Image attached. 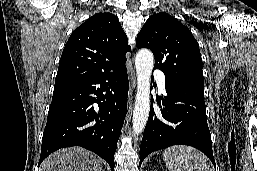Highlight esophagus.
<instances>
[{"label":"esophagus","instance_id":"1","mask_svg":"<svg viewBox=\"0 0 257 171\" xmlns=\"http://www.w3.org/2000/svg\"><path fill=\"white\" fill-rule=\"evenodd\" d=\"M131 87H132V88L135 87V80L132 81Z\"/></svg>","mask_w":257,"mask_h":171}]
</instances>
